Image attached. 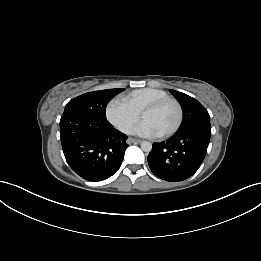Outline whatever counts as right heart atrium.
Masks as SVG:
<instances>
[{
  "instance_id": "right-heart-atrium-1",
  "label": "right heart atrium",
  "mask_w": 261,
  "mask_h": 261,
  "mask_svg": "<svg viewBox=\"0 0 261 261\" xmlns=\"http://www.w3.org/2000/svg\"><path fill=\"white\" fill-rule=\"evenodd\" d=\"M140 114L123 98L112 99L106 107L107 120L120 132L129 134L138 122Z\"/></svg>"
}]
</instances>
